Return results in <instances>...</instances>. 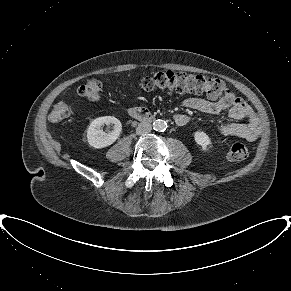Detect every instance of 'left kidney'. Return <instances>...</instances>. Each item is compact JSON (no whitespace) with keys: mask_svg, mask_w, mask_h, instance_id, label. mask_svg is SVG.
<instances>
[{"mask_svg":"<svg viewBox=\"0 0 291 291\" xmlns=\"http://www.w3.org/2000/svg\"><path fill=\"white\" fill-rule=\"evenodd\" d=\"M194 140L202 147V150H206L211 143L209 136L203 131H196L194 133Z\"/></svg>","mask_w":291,"mask_h":291,"instance_id":"1","label":"left kidney"}]
</instances>
